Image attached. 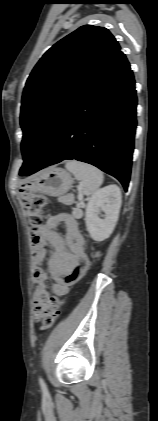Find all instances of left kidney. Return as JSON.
Masks as SVG:
<instances>
[{
    "mask_svg": "<svg viewBox=\"0 0 158 421\" xmlns=\"http://www.w3.org/2000/svg\"><path fill=\"white\" fill-rule=\"evenodd\" d=\"M122 196L117 185H109L98 190L89 200L85 223L87 231L95 241L110 237L118 220ZM100 211L104 212L101 218Z\"/></svg>",
    "mask_w": 158,
    "mask_h": 421,
    "instance_id": "left-kidney-1",
    "label": "left kidney"
}]
</instances>
